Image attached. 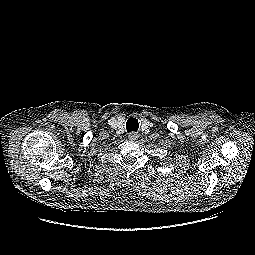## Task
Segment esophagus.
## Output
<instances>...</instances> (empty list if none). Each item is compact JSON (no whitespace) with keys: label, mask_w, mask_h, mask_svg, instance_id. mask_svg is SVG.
Returning <instances> with one entry per match:
<instances>
[{"label":"esophagus","mask_w":255,"mask_h":255,"mask_svg":"<svg viewBox=\"0 0 255 255\" xmlns=\"http://www.w3.org/2000/svg\"><path fill=\"white\" fill-rule=\"evenodd\" d=\"M138 137H139V135L136 132H131L128 135V139L131 140V141H136L138 139Z\"/></svg>","instance_id":"obj_1"}]
</instances>
